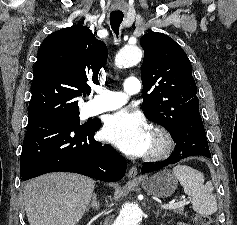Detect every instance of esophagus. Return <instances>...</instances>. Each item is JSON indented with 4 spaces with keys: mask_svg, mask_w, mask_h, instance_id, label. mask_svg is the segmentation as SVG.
<instances>
[{
    "mask_svg": "<svg viewBox=\"0 0 237 225\" xmlns=\"http://www.w3.org/2000/svg\"><path fill=\"white\" fill-rule=\"evenodd\" d=\"M138 171L136 166H131L128 171V176L131 178L137 177Z\"/></svg>",
    "mask_w": 237,
    "mask_h": 225,
    "instance_id": "obj_1",
    "label": "esophagus"
}]
</instances>
